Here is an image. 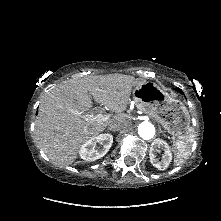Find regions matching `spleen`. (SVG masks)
<instances>
[{"mask_svg": "<svg viewBox=\"0 0 221 221\" xmlns=\"http://www.w3.org/2000/svg\"><path fill=\"white\" fill-rule=\"evenodd\" d=\"M193 141V129L189 128L186 135L173 143L172 150L175 156V165L182 164L189 157Z\"/></svg>", "mask_w": 221, "mask_h": 221, "instance_id": "3e777b00", "label": "spleen"}]
</instances>
